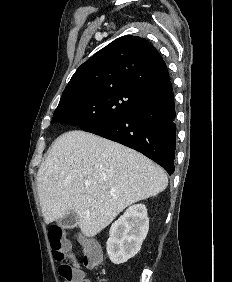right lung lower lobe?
Listing matches in <instances>:
<instances>
[{"label":"right lung lower lobe","instance_id":"1","mask_svg":"<svg viewBox=\"0 0 232 282\" xmlns=\"http://www.w3.org/2000/svg\"><path fill=\"white\" fill-rule=\"evenodd\" d=\"M176 117L172 87L152 96L141 106L110 122L86 126L82 130L121 143L174 172Z\"/></svg>","mask_w":232,"mask_h":282}]
</instances>
